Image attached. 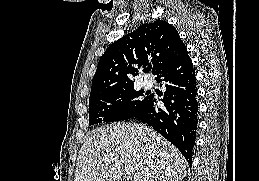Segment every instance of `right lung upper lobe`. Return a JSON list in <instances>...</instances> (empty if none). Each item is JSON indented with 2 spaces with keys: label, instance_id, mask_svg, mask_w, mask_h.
Segmentation results:
<instances>
[{
  "label": "right lung upper lobe",
  "instance_id": "1",
  "mask_svg": "<svg viewBox=\"0 0 259 181\" xmlns=\"http://www.w3.org/2000/svg\"><path fill=\"white\" fill-rule=\"evenodd\" d=\"M187 52L177 30L166 21L143 24L111 44L101 56L92 80L90 98L114 89L133 87L138 68L153 65L158 75Z\"/></svg>",
  "mask_w": 259,
  "mask_h": 181
}]
</instances>
